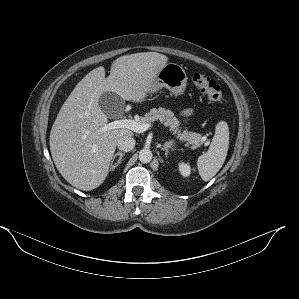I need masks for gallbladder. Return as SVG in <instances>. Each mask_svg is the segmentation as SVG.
<instances>
[{
	"mask_svg": "<svg viewBox=\"0 0 299 299\" xmlns=\"http://www.w3.org/2000/svg\"><path fill=\"white\" fill-rule=\"evenodd\" d=\"M98 105L102 112L108 117L119 118L124 113V100L114 92H104L101 94Z\"/></svg>",
	"mask_w": 299,
	"mask_h": 299,
	"instance_id": "gallbladder-1",
	"label": "gallbladder"
}]
</instances>
